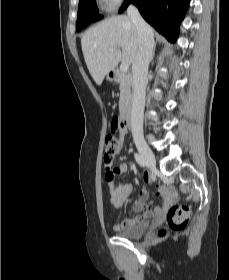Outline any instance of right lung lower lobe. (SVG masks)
Instances as JSON below:
<instances>
[{
    "label": "right lung lower lobe",
    "mask_w": 229,
    "mask_h": 280,
    "mask_svg": "<svg viewBox=\"0 0 229 280\" xmlns=\"http://www.w3.org/2000/svg\"><path fill=\"white\" fill-rule=\"evenodd\" d=\"M131 2L158 32L170 41L176 40L189 0H127L120 12Z\"/></svg>",
    "instance_id": "1"
}]
</instances>
